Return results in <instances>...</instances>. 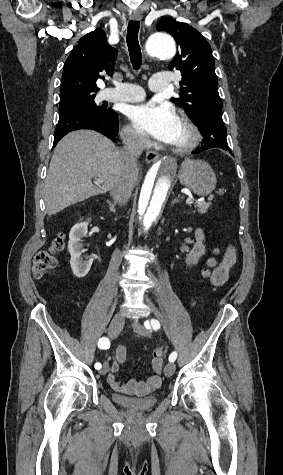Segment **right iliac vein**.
Instances as JSON below:
<instances>
[{"mask_svg":"<svg viewBox=\"0 0 283 475\" xmlns=\"http://www.w3.org/2000/svg\"><path fill=\"white\" fill-rule=\"evenodd\" d=\"M124 325V316L123 314H117L109 324L108 334L110 338H116L120 331L122 330ZM109 366L106 362L103 363L102 369L100 370V374L104 375L108 372Z\"/></svg>","mask_w":283,"mask_h":475,"instance_id":"63e3f726","label":"right iliac vein"}]
</instances>
